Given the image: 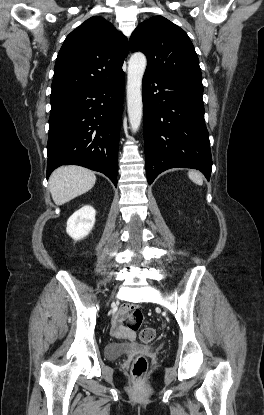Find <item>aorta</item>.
<instances>
[{
	"label": "aorta",
	"instance_id": "762f6f07",
	"mask_svg": "<svg viewBox=\"0 0 264 415\" xmlns=\"http://www.w3.org/2000/svg\"><path fill=\"white\" fill-rule=\"evenodd\" d=\"M147 59L141 52L134 53L128 62L127 108L132 132H136L142 119V78Z\"/></svg>",
	"mask_w": 264,
	"mask_h": 415
}]
</instances>
